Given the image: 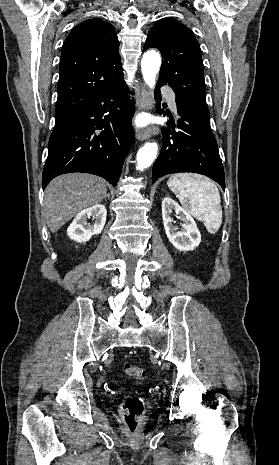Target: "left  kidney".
<instances>
[{"instance_id": "5707ae66", "label": "left kidney", "mask_w": 279, "mask_h": 465, "mask_svg": "<svg viewBox=\"0 0 279 465\" xmlns=\"http://www.w3.org/2000/svg\"><path fill=\"white\" fill-rule=\"evenodd\" d=\"M183 221L181 229L173 225L172 212ZM164 229L170 243L179 251H192L201 242V234L192 216L175 200L165 197L162 201Z\"/></svg>"}]
</instances>
